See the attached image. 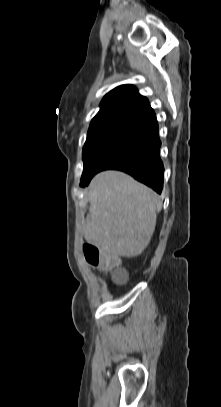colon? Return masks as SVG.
Segmentation results:
<instances>
[{
	"label": "colon",
	"instance_id": "1",
	"mask_svg": "<svg viewBox=\"0 0 221 407\" xmlns=\"http://www.w3.org/2000/svg\"><path fill=\"white\" fill-rule=\"evenodd\" d=\"M84 254L89 264L99 266L103 272H109L113 266H120L121 261H123L118 259L117 254L111 256L101 255L99 250L92 245L84 247Z\"/></svg>",
	"mask_w": 221,
	"mask_h": 407
}]
</instances>
